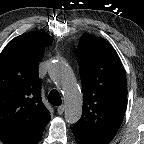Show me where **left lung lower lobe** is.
<instances>
[{
	"label": "left lung lower lobe",
	"mask_w": 144,
	"mask_h": 144,
	"mask_svg": "<svg viewBox=\"0 0 144 144\" xmlns=\"http://www.w3.org/2000/svg\"><path fill=\"white\" fill-rule=\"evenodd\" d=\"M75 140H76L77 144H95L93 142L86 141L78 136H75Z\"/></svg>",
	"instance_id": "left-lung-lower-lobe-1"
}]
</instances>
